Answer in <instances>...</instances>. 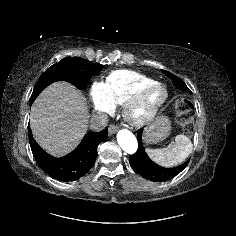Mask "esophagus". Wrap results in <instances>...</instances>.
<instances>
[{
	"label": "esophagus",
	"instance_id": "esophagus-1",
	"mask_svg": "<svg viewBox=\"0 0 236 236\" xmlns=\"http://www.w3.org/2000/svg\"><path fill=\"white\" fill-rule=\"evenodd\" d=\"M117 128L118 127L114 124L110 125L109 128H108L109 135L110 136L113 135L116 132Z\"/></svg>",
	"mask_w": 236,
	"mask_h": 236
}]
</instances>
